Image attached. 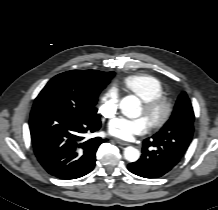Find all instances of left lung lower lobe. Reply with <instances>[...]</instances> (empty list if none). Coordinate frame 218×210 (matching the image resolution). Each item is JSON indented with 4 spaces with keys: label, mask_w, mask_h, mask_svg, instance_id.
<instances>
[{
    "label": "left lung lower lobe",
    "mask_w": 218,
    "mask_h": 210,
    "mask_svg": "<svg viewBox=\"0 0 218 210\" xmlns=\"http://www.w3.org/2000/svg\"><path fill=\"white\" fill-rule=\"evenodd\" d=\"M186 150L166 147L164 142L147 138L143 141L141 158L128 165L130 172L144 178H158L169 172Z\"/></svg>",
    "instance_id": "0a47b994"
}]
</instances>
